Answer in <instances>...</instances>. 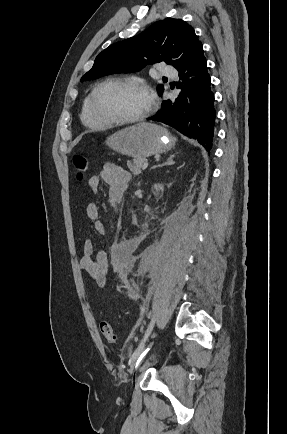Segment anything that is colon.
<instances>
[{
    "mask_svg": "<svg viewBox=\"0 0 287 434\" xmlns=\"http://www.w3.org/2000/svg\"><path fill=\"white\" fill-rule=\"evenodd\" d=\"M73 168L76 177L81 180L85 177L88 169V161L83 155H75L73 157ZM100 331L103 337L111 344L117 342V335L114 331L113 326L108 321L100 322Z\"/></svg>",
    "mask_w": 287,
    "mask_h": 434,
    "instance_id": "obj_1",
    "label": "colon"
}]
</instances>
